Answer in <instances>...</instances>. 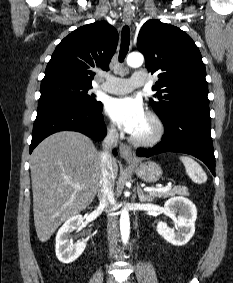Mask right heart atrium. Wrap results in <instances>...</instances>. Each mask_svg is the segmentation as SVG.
<instances>
[{"instance_id": "obj_1", "label": "right heart atrium", "mask_w": 233, "mask_h": 283, "mask_svg": "<svg viewBox=\"0 0 233 283\" xmlns=\"http://www.w3.org/2000/svg\"><path fill=\"white\" fill-rule=\"evenodd\" d=\"M106 131H107V134L110 137H115L116 136V129H115V127L112 124H108L106 126Z\"/></svg>"}]
</instances>
